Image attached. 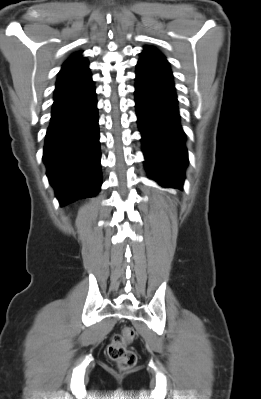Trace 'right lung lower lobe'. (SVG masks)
<instances>
[{"label":"right lung lower lobe","mask_w":261,"mask_h":399,"mask_svg":"<svg viewBox=\"0 0 261 399\" xmlns=\"http://www.w3.org/2000/svg\"><path fill=\"white\" fill-rule=\"evenodd\" d=\"M43 160L61 206L95 196L101 186L98 109L89 73L56 86Z\"/></svg>","instance_id":"1"}]
</instances>
